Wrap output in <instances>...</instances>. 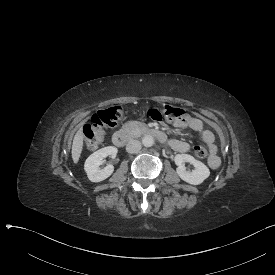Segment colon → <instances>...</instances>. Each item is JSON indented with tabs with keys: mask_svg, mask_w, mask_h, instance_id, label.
I'll return each instance as SVG.
<instances>
[{
	"mask_svg": "<svg viewBox=\"0 0 275 275\" xmlns=\"http://www.w3.org/2000/svg\"><path fill=\"white\" fill-rule=\"evenodd\" d=\"M123 114V108L119 105L111 106L97 111L83 126L82 133L84 143L90 150L99 149L104 141L106 129L114 126ZM146 115L153 121L162 122L178 121L186 116V110L172 105H164L161 108H148ZM195 156L199 159L207 157L208 152L204 144L194 147Z\"/></svg>",
	"mask_w": 275,
	"mask_h": 275,
	"instance_id": "obj_1",
	"label": "colon"
}]
</instances>
